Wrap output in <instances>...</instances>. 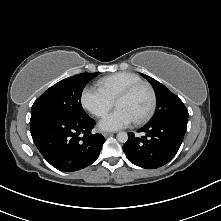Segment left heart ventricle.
<instances>
[{
	"mask_svg": "<svg viewBox=\"0 0 221 221\" xmlns=\"http://www.w3.org/2000/svg\"><path fill=\"white\" fill-rule=\"evenodd\" d=\"M151 105V95L146 87L136 90L131 96L117 102L116 107L126 110L135 120L146 114Z\"/></svg>",
	"mask_w": 221,
	"mask_h": 221,
	"instance_id": "left-heart-ventricle-1",
	"label": "left heart ventricle"
}]
</instances>
